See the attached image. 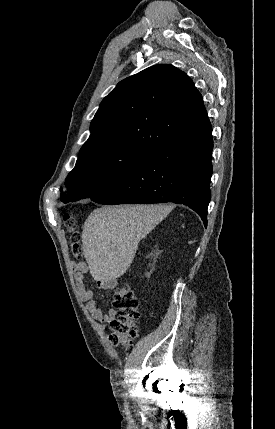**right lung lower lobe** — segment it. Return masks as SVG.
<instances>
[{
    "mask_svg": "<svg viewBox=\"0 0 275 429\" xmlns=\"http://www.w3.org/2000/svg\"><path fill=\"white\" fill-rule=\"evenodd\" d=\"M212 150L211 126L181 136L155 150L137 169L91 200L101 204H184L206 226Z\"/></svg>",
    "mask_w": 275,
    "mask_h": 429,
    "instance_id": "right-lung-lower-lobe-1",
    "label": "right lung lower lobe"
}]
</instances>
